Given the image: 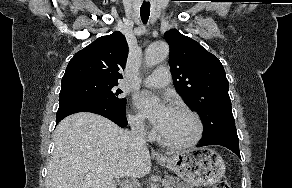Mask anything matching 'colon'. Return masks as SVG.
<instances>
[{
  "label": "colon",
  "instance_id": "5ec220e1",
  "mask_svg": "<svg viewBox=\"0 0 292 188\" xmlns=\"http://www.w3.org/2000/svg\"><path fill=\"white\" fill-rule=\"evenodd\" d=\"M213 188H230V184L227 180H222L216 183Z\"/></svg>",
  "mask_w": 292,
  "mask_h": 188
}]
</instances>
